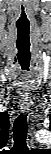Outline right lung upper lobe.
Returning <instances> with one entry per match:
<instances>
[{"instance_id":"cb5924a9","label":"right lung upper lobe","mask_w":51,"mask_h":154,"mask_svg":"<svg viewBox=\"0 0 51 154\" xmlns=\"http://www.w3.org/2000/svg\"><path fill=\"white\" fill-rule=\"evenodd\" d=\"M5 114V113H4ZM3 119L7 122V123H9V117H8V114L7 115H4L3 116Z\"/></svg>"}]
</instances>
